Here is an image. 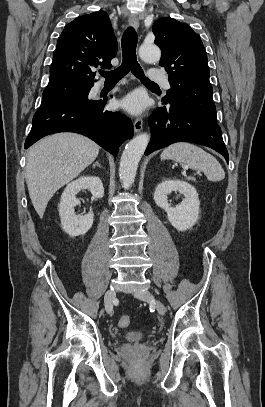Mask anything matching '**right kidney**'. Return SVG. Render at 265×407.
Masks as SVG:
<instances>
[{"label": "right kidney", "mask_w": 265, "mask_h": 407, "mask_svg": "<svg viewBox=\"0 0 265 407\" xmlns=\"http://www.w3.org/2000/svg\"><path fill=\"white\" fill-rule=\"evenodd\" d=\"M84 189H89L94 198L104 196L101 179L97 176H84L67 185L58 205L62 228L72 237L86 234L93 224L92 210L84 216L75 214L74 207L79 204L76 194Z\"/></svg>", "instance_id": "obj_1"}]
</instances>
